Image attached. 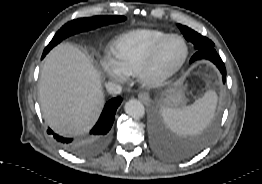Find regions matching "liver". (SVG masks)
Returning a JSON list of instances; mask_svg holds the SVG:
<instances>
[{
  "instance_id": "6515ba94",
  "label": "liver",
  "mask_w": 262,
  "mask_h": 184,
  "mask_svg": "<svg viewBox=\"0 0 262 184\" xmlns=\"http://www.w3.org/2000/svg\"><path fill=\"white\" fill-rule=\"evenodd\" d=\"M39 100L55 132L83 134L94 125L105 102L101 75L82 51L69 43L60 44L43 63Z\"/></svg>"
}]
</instances>
